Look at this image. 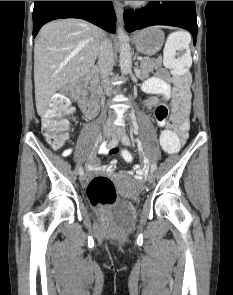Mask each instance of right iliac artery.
<instances>
[{
    "instance_id": "right-iliac-artery-1",
    "label": "right iliac artery",
    "mask_w": 233,
    "mask_h": 295,
    "mask_svg": "<svg viewBox=\"0 0 233 295\" xmlns=\"http://www.w3.org/2000/svg\"><path fill=\"white\" fill-rule=\"evenodd\" d=\"M118 143V141L116 140H111L108 144H107V148H111V147H114L116 146ZM84 173V170L82 167L79 168V174L82 175Z\"/></svg>"
}]
</instances>
